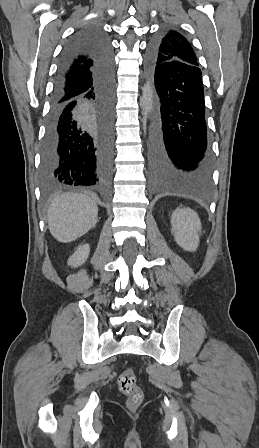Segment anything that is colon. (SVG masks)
Listing matches in <instances>:
<instances>
[{"mask_svg":"<svg viewBox=\"0 0 259 448\" xmlns=\"http://www.w3.org/2000/svg\"><path fill=\"white\" fill-rule=\"evenodd\" d=\"M120 391L127 396V406L136 410L143 401V391L137 384L136 376L131 368L124 370L118 378Z\"/></svg>","mask_w":259,"mask_h":448,"instance_id":"5ec220e1","label":"colon"}]
</instances>
